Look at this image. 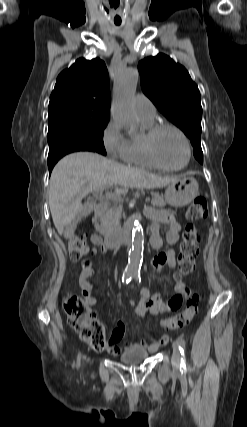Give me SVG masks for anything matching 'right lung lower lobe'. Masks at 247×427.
I'll use <instances>...</instances> for the list:
<instances>
[{"instance_id": "98d812e1", "label": "right lung lower lobe", "mask_w": 247, "mask_h": 427, "mask_svg": "<svg viewBox=\"0 0 247 427\" xmlns=\"http://www.w3.org/2000/svg\"><path fill=\"white\" fill-rule=\"evenodd\" d=\"M76 151H94L90 147L76 143V142H58L49 146V155H48V168L49 173L57 163V161L64 155Z\"/></svg>"}]
</instances>
